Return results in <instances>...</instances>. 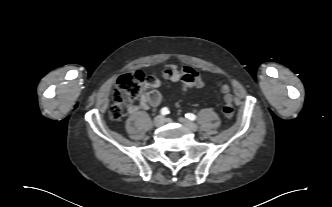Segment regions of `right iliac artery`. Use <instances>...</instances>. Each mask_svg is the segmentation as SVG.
<instances>
[{"label":"right iliac artery","mask_w":332,"mask_h":207,"mask_svg":"<svg viewBox=\"0 0 332 207\" xmlns=\"http://www.w3.org/2000/svg\"><path fill=\"white\" fill-rule=\"evenodd\" d=\"M169 113L168 108L164 107L161 109V115H167Z\"/></svg>","instance_id":"obj_1"}]
</instances>
